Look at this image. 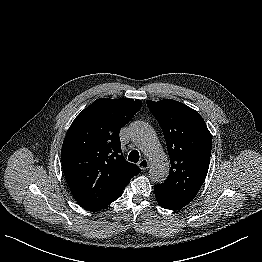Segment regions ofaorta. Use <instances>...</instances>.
<instances>
[{
  "label": "aorta",
  "mask_w": 262,
  "mask_h": 262,
  "mask_svg": "<svg viewBox=\"0 0 262 262\" xmlns=\"http://www.w3.org/2000/svg\"><path fill=\"white\" fill-rule=\"evenodd\" d=\"M135 145L150 160L149 177L154 183H162L169 174L168 157L162 149L154 129L144 123L135 122L130 129Z\"/></svg>",
  "instance_id": "obj_1"
}]
</instances>
